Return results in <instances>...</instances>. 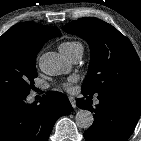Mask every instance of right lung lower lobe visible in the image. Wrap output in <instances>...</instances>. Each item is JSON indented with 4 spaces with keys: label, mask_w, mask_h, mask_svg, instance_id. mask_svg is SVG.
Instances as JSON below:
<instances>
[{
    "label": "right lung lower lobe",
    "mask_w": 141,
    "mask_h": 141,
    "mask_svg": "<svg viewBox=\"0 0 141 141\" xmlns=\"http://www.w3.org/2000/svg\"><path fill=\"white\" fill-rule=\"evenodd\" d=\"M27 95L0 94V141H47L56 120L72 110L60 92H48L39 105L27 104Z\"/></svg>",
    "instance_id": "1"
}]
</instances>
